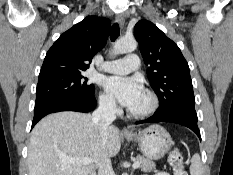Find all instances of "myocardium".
<instances>
[{
  "mask_svg": "<svg viewBox=\"0 0 233 175\" xmlns=\"http://www.w3.org/2000/svg\"><path fill=\"white\" fill-rule=\"evenodd\" d=\"M144 97L146 99V105L139 110H129L128 114L131 117H135V118H144V117H148L150 115H152L159 106V100L158 97L156 96V94H154L151 91H146L144 93Z\"/></svg>",
  "mask_w": 233,
  "mask_h": 175,
  "instance_id": "1",
  "label": "myocardium"
}]
</instances>
